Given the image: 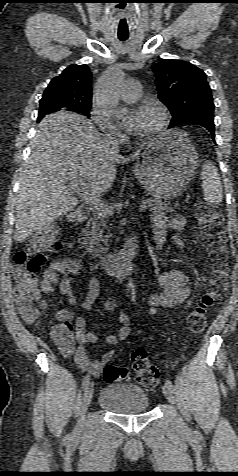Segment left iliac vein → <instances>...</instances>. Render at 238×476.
<instances>
[{
	"label": "left iliac vein",
	"instance_id": "1",
	"mask_svg": "<svg viewBox=\"0 0 238 476\" xmlns=\"http://www.w3.org/2000/svg\"><path fill=\"white\" fill-rule=\"evenodd\" d=\"M163 393L169 402L173 404L175 403L174 393L173 390L169 387V385L165 384L163 386Z\"/></svg>",
	"mask_w": 238,
	"mask_h": 476
}]
</instances>
